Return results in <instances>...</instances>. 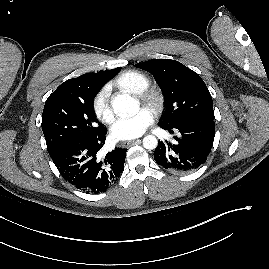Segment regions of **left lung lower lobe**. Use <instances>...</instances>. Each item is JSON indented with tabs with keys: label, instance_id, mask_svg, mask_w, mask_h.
I'll return each mask as SVG.
<instances>
[{
	"label": "left lung lower lobe",
	"instance_id": "0a47b994",
	"mask_svg": "<svg viewBox=\"0 0 269 269\" xmlns=\"http://www.w3.org/2000/svg\"><path fill=\"white\" fill-rule=\"evenodd\" d=\"M169 133L177 131L176 142H159L154 151L157 164L175 173H189L201 167L213 146L215 122L212 119H188L173 126L162 124Z\"/></svg>",
	"mask_w": 269,
	"mask_h": 269
}]
</instances>
